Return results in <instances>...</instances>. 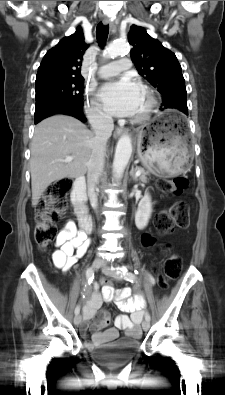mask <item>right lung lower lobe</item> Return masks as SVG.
Masks as SVG:
<instances>
[{
  "label": "right lung lower lobe",
  "mask_w": 225,
  "mask_h": 395,
  "mask_svg": "<svg viewBox=\"0 0 225 395\" xmlns=\"http://www.w3.org/2000/svg\"><path fill=\"white\" fill-rule=\"evenodd\" d=\"M57 113H62L66 115L73 116L78 118L82 122L86 121V118L83 114V103L80 102H62L54 104L44 111L35 114V124L40 122L42 119Z\"/></svg>",
  "instance_id": "98d812e1"
}]
</instances>
